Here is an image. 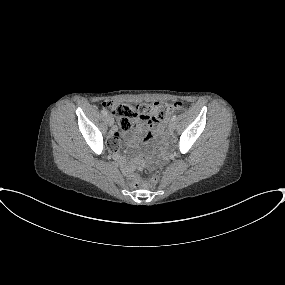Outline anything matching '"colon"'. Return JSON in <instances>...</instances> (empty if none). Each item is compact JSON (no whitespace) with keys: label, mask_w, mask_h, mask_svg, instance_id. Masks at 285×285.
<instances>
[{"label":"colon","mask_w":285,"mask_h":285,"mask_svg":"<svg viewBox=\"0 0 285 285\" xmlns=\"http://www.w3.org/2000/svg\"><path fill=\"white\" fill-rule=\"evenodd\" d=\"M106 111L111 113L117 120L118 127L122 131H130L136 120H152L161 122L165 120L174 110L182 108L181 102L157 104H139L132 106L127 103L105 102ZM159 178L154 176L152 182H157Z\"/></svg>","instance_id":"obj_1"}]
</instances>
